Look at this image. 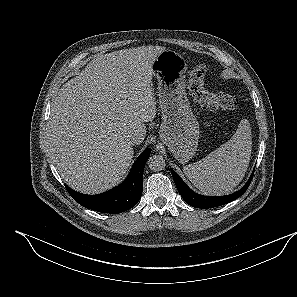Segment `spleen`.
<instances>
[{"instance_id": "1", "label": "spleen", "mask_w": 297, "mask_h": 297, "mask_svg": "<svg viewBox=\"0 0 297 297\" xmlns=\"http://www.w3.org/2000/svg\"><path fill=\"white\" fill-rule=\"evenodd\" d=\"M250 123L242 119L232 138L209 155L183 168L191 183L206 194L223 195L241 182L250 162Z\"/></svg>"}]
</instances>
